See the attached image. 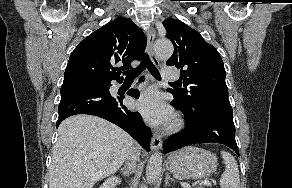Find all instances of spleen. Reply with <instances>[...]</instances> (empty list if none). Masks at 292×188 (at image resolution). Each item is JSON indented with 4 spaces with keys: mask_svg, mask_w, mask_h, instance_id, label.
<instances>
[{
    "mask_svg": "<svg viewBox=\"0 0 292 188\" xmlns=\"http://www.w3.org/2000/svg\"><path fill=\"white\" fill-rule=\"evenodd\" d=\"M222 158L225 163V171L220 178L221 188H240V176L238 165L230 153L226 151H221Z\"/></svg>",
    "mask_w": 292,
    "mask_h": 188,
    "instance_id": "1",
    "label": "spleen"
}]
</instances>
